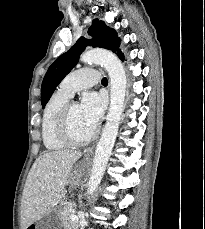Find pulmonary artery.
Returning a JSON list of instances; mask_svg holds the SVG:
<instances>
[{"label": "pulmonary artery", "mask_w": 205, "mask_h": 229, "mask_svg": "<svg viewBox=\"0 0 205 229\" xmlns=\"http://www.w3.org/2000/svg\"><path fill=\"white\" fill-rule=\"evenodd\" d=\"M100 81V73L90 67L77 69L68 74L59 86V91L68 97L75 92L96 84Z\"/></svg>", "instance_id": "e3ab8cb5"}]
</instances>
